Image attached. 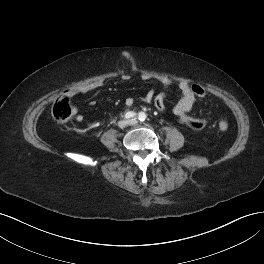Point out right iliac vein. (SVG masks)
<instances>
[{
	"mask_svg": "<svg viewBox=\"0 0 264 264\" xmlns=\"http://www.w3.org/2000/svg\"><path fill=\"white\" fill-rule=\"evenodd\" d=\"M128 124H129V122L126 121V120H121V121L118 122V126L120 128H125Z\"/></svg>",
	"mask_w": 264,
	"mask_h": 264,
	"instance_id": "right-iliac-vein-1",
	"label": "right iliac vein"
}]
</instances>
